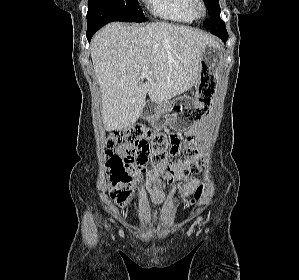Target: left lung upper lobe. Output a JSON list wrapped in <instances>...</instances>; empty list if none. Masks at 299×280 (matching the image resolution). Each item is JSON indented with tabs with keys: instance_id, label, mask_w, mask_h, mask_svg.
Segmentation results:
<instances>
[{
	"instance_id": "obj_1",
	"label": "left lung upper lobe",
	"mask_w": 299,
	"mask_h": 280,
	"mask_svg": "<svg viewBox=\"0 0 299 280\" xmlns=\"http://www.w3.org/2000/svg\"><path fill=\"white\" fill-rule=\"evenodd\" d=\"M204 3L208 9L210 19L203 23V26L210 30H216L218 28H224L225 23L220 19V7L219 0H204Z\"/></svg>"
}]
</instances>
